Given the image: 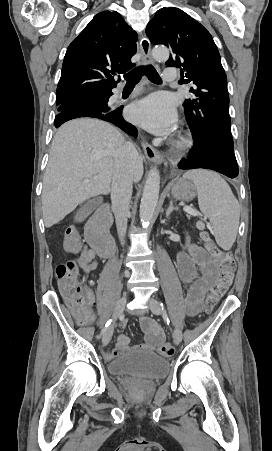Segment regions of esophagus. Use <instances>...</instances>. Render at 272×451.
Wrapping results in <instances>:
<instances>
[{
    "label": "esophagus",
    "mask_w": 272,
    "mask_h": 451,
    "mask_svg": "<svg viewBox=\"0 0 272 451\" xmlns=\"http://www.w3.org/2000/svg\"><path fill=\"white\" fill-rule=\"evenodd\" d=\"M140 49L142 53V63L143 64H149L153 63V58L151 56V46L150 41L147 37L143 36L140 41ZM142 148L144 150V154L148 160L152 161L153 163H164L165 158L155 149L153 148L149 143H146L145 141L142 142Z\"/></svg>",
    "instance_id": "obj_1"
}]
</instances>
